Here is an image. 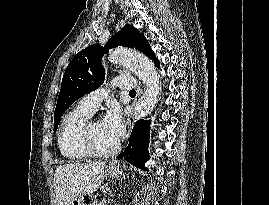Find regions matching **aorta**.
<instances>
[{
	"label": "aorta",
	"instance_id": "762f6f07",
	"mask_svg": "<svg viewBox=\"0 0 269 205\" xmlns=\"http://www.w3.org/2000/svg\"><path fill=\"white\" fill-rule=\"evenodd\" d=\"M108 59L129 68L146 86L145 92L135 104L134 118L139 120L146 117L154 109L160 93L159 76L154 64L142 53L122 48L109 53Z\"/></svg>",
	"mask_w": 269,
	"mask_h": 205
}]
</instances>
